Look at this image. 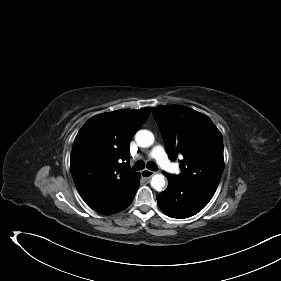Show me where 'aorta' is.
<instances>
[{"instance_id": "1", "label": "aorta", "mask_w": 281, "mask_h": 281, "mask_svg": "<svg viewBox=\"0 0 281 281\" xmlns=\"http://www.w3.org/2000/svg\"><path fill=\"white\" fill-rule=\"evenodd\" d=\"M135 140L140 147H149L154 143V135L148 130H139L135 135ZM151 186L162 191L165 186V177L162 174H155L151 179Z\"/></svg>"}]
</instances>
